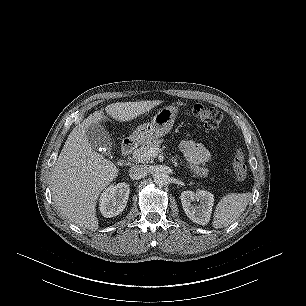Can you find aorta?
<instances>
[{
	"label": "aorta",
	"mask_w": 306,
	"mask_h": 306,
	"mask_svg": "<svg viewBox=\"0 0 306 306\" xmlns=\"http://www.w3.org/2000/svg\"><path fill=\"white\" fill-rule=\"evenodd\" d=\"M154 182L158 185V186H165L169 183V175L167 173H157L154 176Z\"/></svg>",
	"instance_id": "762f6f07"
}]
</instances>
